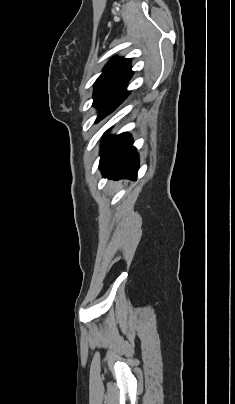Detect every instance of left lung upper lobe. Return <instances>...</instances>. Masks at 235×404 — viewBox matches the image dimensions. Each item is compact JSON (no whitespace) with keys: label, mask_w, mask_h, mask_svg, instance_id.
<instances>
[{"label":"left lung upper lobe","mask_w":235,"mask_h":404,"mask_svg":"<svg viewBox=\"0 0 235 404\" xmlns=\"http://www.w3.org/2000/svg\"><path fill=\"white\" fill-rule=\"evenodd\" d=\"M130 63V59L113 58L96 80L93 105L100 110L96 122L111 113L127 97L129 92L126 87L133 74Z\"/></svg>","instance_id":"obj_1"}]
</instances>
